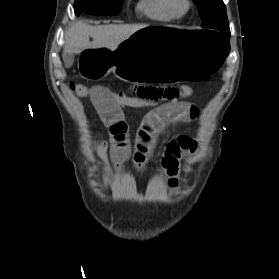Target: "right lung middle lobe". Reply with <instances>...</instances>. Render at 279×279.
Instances as JSON below:
<instances>
[{"label": "right lung middle lobe", "instance_id": "dd1d6c3e", "mask_svg": "<svg viewBox=\"0 0 279 279\" xmlns=\"http://www.w3.org/2000/svg\"><path fill=\"white\" fill-rule=\"evenodd\" d=\"M124 0H75V14L116 15Z\"/></svg>", "mask_w": 279, "mask_h": 279}]
</instances>
